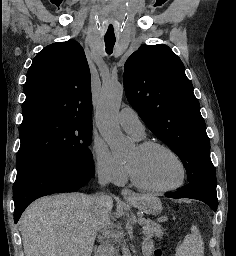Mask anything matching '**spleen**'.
I'll return each instance as SVG.
<instances>
[{"instance_id": "1", "label": "spleen", "mask_w": 236, "mask_h": 256, "mask_svg": "<svg viewBox=\"0 0 236 256\" xmlns=\"http://www.w3.org/2000/svg\"><path fill=\"white\" fill-rule=\"evenodd\" d=\"M176 256H204V242L197 226H192L191 234L185 236Z\"/></svg>"}]
</instances>
